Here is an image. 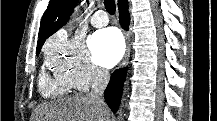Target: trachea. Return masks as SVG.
Instances as JSON below:
<instances>
[{
  "label": "trachea",
  "instance_id": "trachea-1",
  "mask_svg": "<svg viewBox=\"0 0 217 121\" xmlns=\"http://www.w3.org/2000/svg\"><path fill=\"white\" fill-rule=\"evenodd\" d=\"M104 5H105V9L106 11L113 15L116 11V5H115V1L114 0H104Z\"/></svg>",
  "mask_w": 217,
  "mask_h": 121
}]
</instances>
